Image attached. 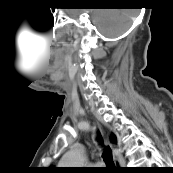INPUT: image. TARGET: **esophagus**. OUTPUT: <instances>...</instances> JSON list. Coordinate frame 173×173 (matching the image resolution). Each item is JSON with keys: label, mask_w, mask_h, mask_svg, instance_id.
Listing matches in <instances>:
<instances>
[{"label": "esophagus", "mask_w": 173, "mask_h": 173, "mask_svg": "<svg viewBox=\"0 0 173 173\" xmlns=\"http://www.w3.org/2000/svg\"><path fill=\"white\" fill-rule=\"evenodd\" d=\"M114 161H116V157H115V155H114Z\"/></svg>", "instance_id": "1"}]
</instances>
